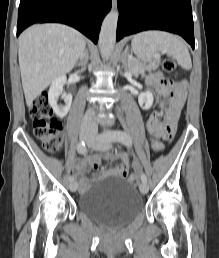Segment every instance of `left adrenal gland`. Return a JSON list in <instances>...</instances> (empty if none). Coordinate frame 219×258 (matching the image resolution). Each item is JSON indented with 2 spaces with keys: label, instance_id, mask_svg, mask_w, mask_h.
Here are the masks:
<instances>
[{
  "label": "left adrenal gland",
  "instance_id": "1",
  "mask_svg": "<svg viewBox=\"0 0 219 258\" xmlns=\"http://www.w3.org/2000/svg\"><path fill=\"white\" fill-rule=\"evenodd\" d=\"M128 52H129V48L127 47L124 54H123V57H122V63L125 67H127V56H128Z\"/></svg>",
  "mask_w": 219,
  "mask_h": 258
}]
</instances>
